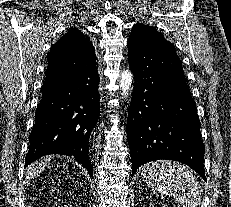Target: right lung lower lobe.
<instances>
[{
  "label": "right lung lower lobe",
  "mask_w": 231,
  "mask_h": 207,
  "mask_svg": "<svg viewBox=\"0 0 231 207\" xmlns=\"http://www.w3.org/2000/svg\"><path fill=\"white\" fill-rule=\"evenodd\" d=\"M96 55L72 70L47 68L25 167L44 155L73 156L93 174L89 140L100 113Z\"/></svg>",
  "instance_id": "98d812e1"
}]
</instances>
